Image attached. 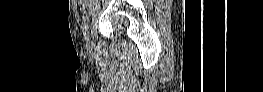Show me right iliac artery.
I'll return each instance as SVG.
<instances>
[{
	"label": "right iliac artery",
	"instance_id": "1",
	"mask_svg": "<svg viewBox=\"0 0 263 92\" xmlns=\"http://www.w3.org/2000/svg\"><path fill=\"white\" fill-rule=\"evenodd\" d=\"M83 34H84V39L86 40L88 38V25H84L83 28Z\"/></svg>",
	"mask_w": 263,
	"mask_h": 92
}]
</instances>
